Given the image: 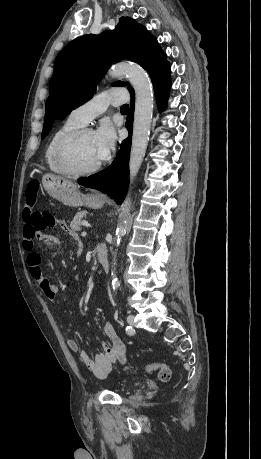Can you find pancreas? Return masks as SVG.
<instances>
[{"label":"pancreas","mask_w":261,"mask_h":459,"mask_svg":"<svg viewBox=\"0 0 261 459\" xmlns=\"http://www.w3.org/2000/svg\"><path fill=\"white\" fill-rule=\"evenodd\" d=\"M87 214V211H80L75 215V217L70 223V228L72 229V231H79L81 229L82 218L86 217Z\"/></svg>","instance_id":"obj_1"}]
</instances>
